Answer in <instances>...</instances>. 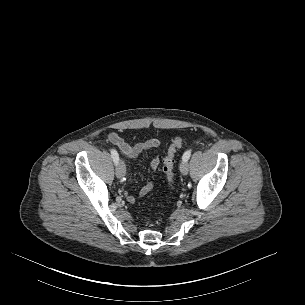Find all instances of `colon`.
<instances>
[{
    "label": "colon",
    "mask_w": 305,
    "mask_h": 305,
    "mask_svg": "<svg viewBox=\"0 0 305 305\" xmlns=\"http://www.w3.org/2000/svg\"><path fill=\"white\" fill-rule=\"evenodd\" d=\"M183 144V139L181 137H175L166 153V156L163 160V171L166 175V178L170 184V187H173L174 183V165H175V154Z\"/></svg>",
    "instance_id": "obj_1"
}]
</instances>
